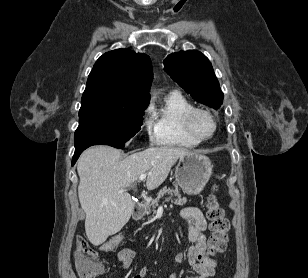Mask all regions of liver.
I'll return each instance as SVG.
<instances>
[{
  "mask_svg": "<svg viewBox=\"0 0 308 278\" xmlns=\"http://www.w3.org/2000/svg\"><path fill=\"white\" fill-rule=\"evenodd\" d=\"M189 153L180 147H151L121 160L120 150L110 146L85 150L77 165L78 196L89 241L98 246L129 221L134 203L125 189L142 173L148 174L146 186L153 190L165 181L177 160Z\"/></svg>",
  "mask_w": 308,
  "mask_h": 278,
  "instance_id": "liver-1",
  "label": "liver"
}]
</instances>
